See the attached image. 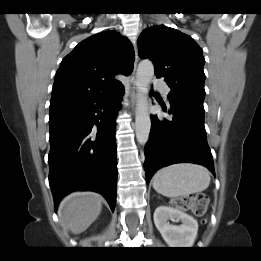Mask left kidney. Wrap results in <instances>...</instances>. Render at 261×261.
<instances>
[{"label": "left kidney", "mask_w": 261, "mask_h": 261, "mask_svg": "<svg viewBox=\"0 0 261 261\" xmlns=\"http://www.w3.org/2000/svg\"><path fill=\"white\" fill-rule=\"evenodd\" d=\"M154 223L169 247L188 248L192 247L198 231L197 221L185 212L168 207L159 206L154 212ZM181 221L182 224L170 225L168 220Z\"/></svg>", "instance_id": "5707ae66"}]
</instances>
